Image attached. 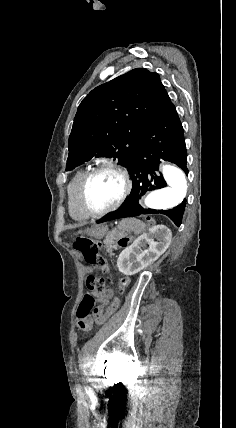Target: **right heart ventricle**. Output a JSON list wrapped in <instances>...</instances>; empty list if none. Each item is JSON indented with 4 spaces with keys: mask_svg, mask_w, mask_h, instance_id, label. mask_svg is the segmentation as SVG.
I'll return each mask as SVG.
<instances>
[{
    "mask_svg": "<svg viewBox=\"0 0 236 428\" xmlns=\"http://www.w3.org/2000/svg\"><path fill=\"white\" fill-rule=\"evenodd\" d=\"M86 173L85 169L76 171L66 186L67 202L70 213L73 218L78 221H86L90 218V215L82 208L79 200L80 183Z\"/></svg>",
    "mask_w": 236,
    "mask_h": 428,
    "instance_id": "e07e8e85",
    "label": "right heart ventricle"
}]
</instances>
